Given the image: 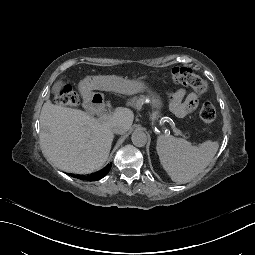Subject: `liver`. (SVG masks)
<instances>
[{
	"label": "liver",
	"instance_id": "obj_1",
	"mask_svg": "<svg viewBox=\"0 0 255 255\" xmlns=\"http://www.w3.org/2000/svg\"><path fill=\"white\" fill-rule=\"evenodd\" d=\"M109 90L122 93L117 76H101ZM134 114L117 108L104 122L84 111L54 105L47 100L40 114V140L44 155L59 169L88 174L99 170L107 161L114 138L111 126L122 123L131 128Z\"/></svg>",
	"mask_w": 255,
	"mask_h": 255
}]
</instances>
